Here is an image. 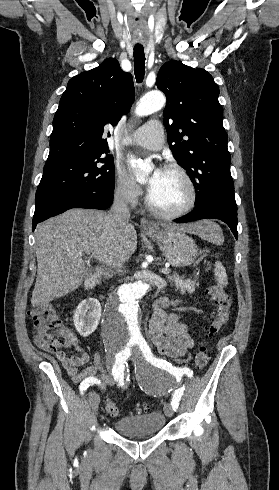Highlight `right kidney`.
I'll return each instance as SVG.
<instances>
[{
  "mask_svg": "<svg viewBox=\"0 0 279 490\" xmlns=\"http://www.w3.org/2000/svg\"><path fill=\"white\" fill-rule=\"evenodd\" d=\"M101 312V304L95 298L82 300L78 304L74 312L73 322L78 334L82 338H87V336L95 332L100 322Z\"/></svg>",
  "mask_w": 279,
  "mask_h": 490,
  "instance_id": "ca27d5eb",
  "label": "right kidney"
}]
</instances>
